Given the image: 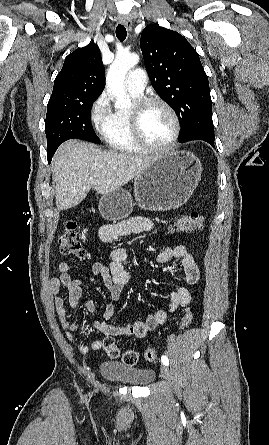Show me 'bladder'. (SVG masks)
<instances>
[{"mask_svg": "<svg viewBox=\"0 0 269 445\" xmlns=\"http://www.w3.org/2000/svg\"><path fill=\"white\" fill-rule=\"evenodd\" d=\"M100 374L104 379L139 387L147 386L155 377L151 369L133 368L115 360L104 361Z\"/></svg>", "mask_w": 269, "mask_h": 445, "instance_id": "31cf9c89", "label": "bladder"}]
</instances>
